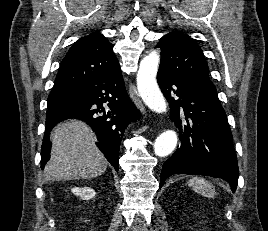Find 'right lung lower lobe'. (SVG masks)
<instances>
[{
  "mask_svg": "<svg viewBox=\"0 0 268 231\" xmlns=\"http://www.w3.org/2000/svg\"><path fill=\"white\" fill-rule=\"evenodd\" d=\"M79 89L76 99L48 107L41 168L44 169L50 158V130L59 121L77 118L91 126L99 140L97 146L118 170L119 148L125 128L140 116L127 95L119 63Z\"/></svg>",
  "mask_w": 268,
  "mask_h": 231,
  "instance_id": "obj_1",
  "label": "right lung lower lobe"
}]
</instances>
